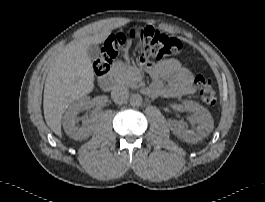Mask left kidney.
I'll list each match as a JSON object with an SVG mask.
<instances>
[{"mask_svg": "<svg viewBox=\"0 0 265 202\" xmlns=\"http://www.w3.org/2000/svg\"><path fill=\"white\" fill-rule=\"evenodd\" d=\"M183 105L194 112L189 117V122L195 126L194 129L189 130L185 123L175 120L169 121L170 129L179 139L188 143H197L212 132L214 128L213 118L210 112L197 102L184 101Z\"/></svg>", "mask_w": 265, "mask_h": 202, "instance_id": "left-kidney-1", "label": "left kidney"}]
</instances>
